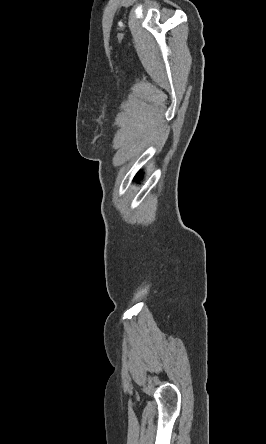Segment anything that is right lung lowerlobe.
<instances>
[{"label":"right lung lower lobe","mask_w":266,"mask_h":444,"mask_svg":"<svg viewBox=\"0 0 266 444\" xmlns=\"http://www.w3.org/2000/svg\"><path fill=\"white\" fill-rule=\"evenodd\" d=\"M140 178V173H138L135 177V179H139Z\"/></svg>","instance_id":"right-lung-lower-lobe-1"}]
</instances>
